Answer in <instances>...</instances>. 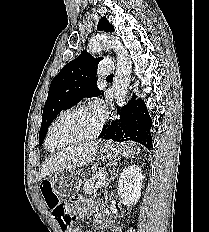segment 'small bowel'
<instances>
[{
	"label": "small bowel",
	"instance_id": "obj_1",
	"mask_svg": "<svg viewBox=\"0 0 209 232\" xmlns=\"http://www.w3.org/2000/svg\"><path fill=\"white\" fill-rule=\"evenodd\" d=\"M80 199V194H71V198H68V201H66L65 204V209H67V213H78V207H79V201ZM88 208H81L80 213L85 214L87 213ZM107 224H111L110 221H106ZM63 229V228H62ZM64 232H81L78 228H73V227H68L66 229H63ZM113 232L117 231L116 227H113L112 229Z\"/></svg>",
	"mask_w": 209,
	"mask_h": 232
}]
</instances>
